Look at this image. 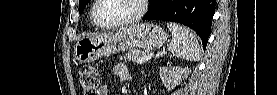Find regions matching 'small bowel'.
<instances>
[{"label": "small bowel", "instance_id": "obj_1", "mask_svg": "<svg viewBox=\"0 0 277 95\" xmlns=\"http://www.w3.org/2000/svg\"><path fill=\"white\" fill-rule=\"evenodd\" d=\"M114 72H115L116 75H118L122 79H125V80L130 79L127 68L122 63H119V64L115 65ZM98 94L99 95H107L108 94V88L106 86L100 87Z\"/></svg>", "mask_w": 277, "mask_h": 95}]
</instances>
